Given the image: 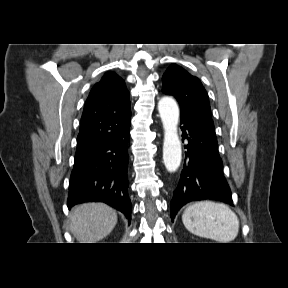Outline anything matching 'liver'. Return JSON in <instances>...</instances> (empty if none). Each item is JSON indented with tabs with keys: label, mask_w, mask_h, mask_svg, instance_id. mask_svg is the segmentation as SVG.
<instances>
[{
	"label": "liver",
	"mask_w": 288,
	"mask_h": 288,
	"mask_svg": "<svg viewBox=\"0 0 288 288\" xmlns=\"http://www.w3.org/2000/svg\"><path fill=\"white\" fill-rule=\"evenodd\" d=\"M117 224V213L103 203H84L70 212V231L80 243H96Z\"/></svg>",
	"instance_id": "obj_1"
}]
</instances>
